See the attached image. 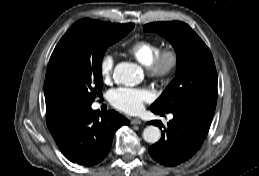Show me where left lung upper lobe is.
<instances>
[{"instance_id": "1", "label": "left lung upper lobe", "mask_w": 259, "mask_h": 176, "mask_svg": "<svg viewBox=\"0 0 259 176\" xmlns=\"http://www.w3.org/2000/svg\"><path fill=\"white\" fill-rule=\"evenodd\" d=\"M144 30L165 37L177 52L176 76L150 109L168 113L193 108L214 114L217 72L213 56L202 39L180 21L150 23Z\"/></svg>"}]
</instances>
